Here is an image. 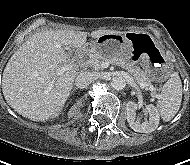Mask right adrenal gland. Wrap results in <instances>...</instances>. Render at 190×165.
Segmentation results:
<instances>
[{
	"label": "right adrenal gland",
	"mask_w": 190,
	"mask_h": 165,
	"mask_svg": "<svg viewBox=\"0 0 190 165\" xmlns=\"http://www.w3.org/2000/svg\"><path fill=\"white\" fill-rule=\"evenodd\" d=\"M76 90V88L74 87V89H73V92Z\"/></svg>",
	"instance_id": "right-adrenal-gland-1"
}]
</instances>
